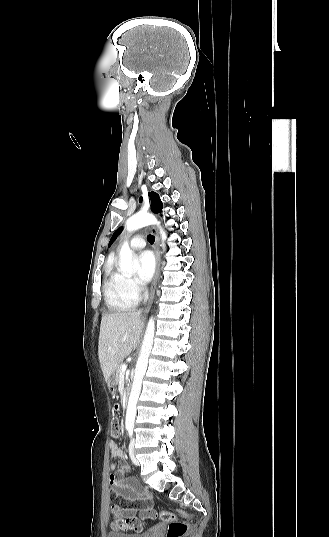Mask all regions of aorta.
Instances as JSON below:
<instances>
[{
	"instance_id": "1",
	"label": "aorta",
	"mask_w": 329,
	"mask_h": 537,
	"mask_svg": "<svg viewBox=\"0 0 329 537\" xmlns=\"http://www.w3.org/2000/svg\"><path fill=\"white\" fill-rule=\"evenodd\" d=\"M151 224L159 226V222L153 215L144 212H138L127 220L125 227L128 232H132ZM160 234L162 240H165L166 233L162 228H160ZM136 267V261L133 259L131 249L128 243H124L120 250V270L125 273H132L136 269ZM154 334L155 322L154 319L151 317L146 327L140 355L136 363L134 380L126 411V427L133 428L134 426L136 405L141 391L142 380L147 370L148 359L153 347Z\"/></svg>"
}]
</instances>
